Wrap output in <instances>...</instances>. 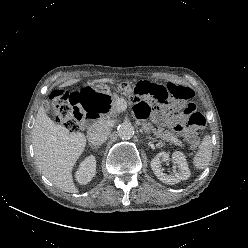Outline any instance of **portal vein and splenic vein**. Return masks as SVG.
I'll return each mask as SVG.
<instances>
[{"instance_id":"obj_1","label":"portal vein and splenic vein","mask_w":248,"mask_h":248,"mask_svg":"<svg viewBox=\"0 0 248 248\" xmlns=\"http://www.w3.org/2000/svg\"><path fill=\"white\" fill-rule=\"evenodd\" d=\"M119 111H125L127 108L126 102L121 99L118 101Z\"/></svg>"}]
</instances>
